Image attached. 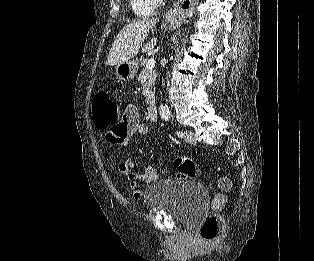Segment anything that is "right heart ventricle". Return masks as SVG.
Wrapping results in <instances>:
<instances>
[{
  "mask_svg": "<svg viewBox=\"0 0 314 261\" xmlns=\"http://www.w3.org/2000/svg\"><path fill=\"white\" fill-rule=\"evenodd\" d=\"M130 7L138 17H148L154 14L156 6L152 0H130Z\"/></svg>",
  "mask_w": 314,
  "mask_h": 261,
  "instance_id": "right-heart-ventricle-1",
  "label": "right heart ventricle"
}]
</instances>
